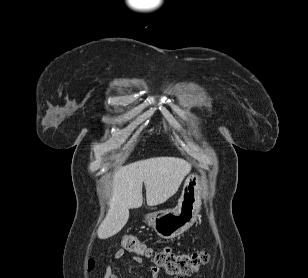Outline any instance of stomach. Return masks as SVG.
<instances>
[{
	"mask_svg": "<svg viewBox=\"0 0 308 278\" xmlns=\"http://www.w3.org/2000/svg\"><path fill=\"white\" fill-rule=\"evenodd\" d=\"M201 190L200 178L196 174H190L185 180L177 209L147 214V224L164 239H172L183 234L197 219L201 209Z\"/></svg>",
	"mask_w": 308,
	"mask_h": 278,
	"instance_id": "stomach-1",
	"label": "stomach"
}]
</instances>
